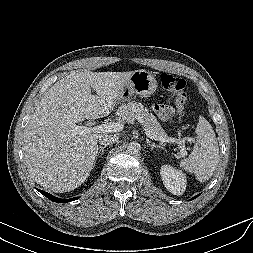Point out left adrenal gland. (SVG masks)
I'll list each match as a JSON object with an SVG mask.
<instances>
[{
  "instance_id": "a2214340",
  "label": "left adrenal gland",
  "mask_w": 253,
  "mask_h": 253,
  "mask_svg": "<svg viewBox=\"0 0 253 253\" xmlns=\"http://www.w3.org/2000/svg\"><path fill=\"white\" fill-rule=\"evenodd\" d=\"M147 144L151 147V149H153V148H161V149H163L162 146L157 145L155 143H151L149 140H147Z\"/></svg>"
}]
</instances>
